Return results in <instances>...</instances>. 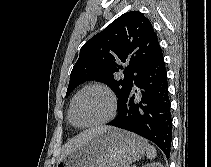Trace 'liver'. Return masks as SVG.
I'll return each mask as SVG.
<instances>
[{
    "label": "liver",
    "mask_w": 211,
    "mask_h": 167,
    "mask_svg": "<svg viewBox=\"0 0 211 167\" xmlns=\"http://www.w3.org/2000/svg\"><path fill=\"white\" fill-rule=\"evenodd\" d=\"M111 127L108 126H98L91 129L84 131L83 133L79 134L78 136L71 139L63 148L61 157L59 159L62 160L65 156L70 154L71 152L79 149L83 145H85L89 140L93 137L97 136L98 134L108 130Z\"/></svg>",
    "instance_id": "obj_1"
}]
</instances>
